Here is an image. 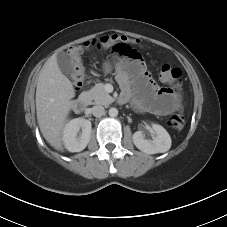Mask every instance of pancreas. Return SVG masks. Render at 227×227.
I'll return each instance as SVG.
<instances>
[{
    "label": "pancreas",
    "instance_id": "1",
    "mask_svg": "<svg viewBox=\"0 0 227 227\" xmlns=\"http://www.w3.org/2000/svg\"><path fill=\"white\" fill-rule=\"evenodd\" d=\"M87 95L89 103L92 104L109 105L114 101L113 97L105 91L103 83L96 84L87 92Z\"/></svg>",
    "mask_w": 227,
    "mask_h": 227
}]
</instances>
